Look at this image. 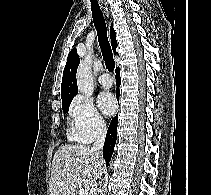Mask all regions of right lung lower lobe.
I'll list each match as a JSON object with an SVG mask.
<instances>
[{"instance_id":"98d812e1","label":"right lung lower lobe","mask_w":211,"mask_h":195,"mask_svg":"<svg viewBox=\"0 0 211 195\" xmlns=\"http://www.w3.org/2000/svg\"><path fill=\"white\" fill-rule=\"evenodd\" d=\"M120 69H116V84H117V90H116V96L118 98L119 96V85L121 83V78H120ZM117 123H118V118L117 115L114 117L110 123V126L108 128L107 134H106V139L103 147V157L106 161V164L108 165L111 159V156L114 151V146L116 143L117 139Z\"/></svg>"}]
</instances>
